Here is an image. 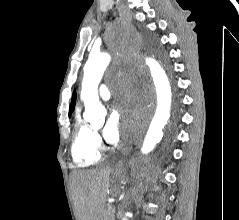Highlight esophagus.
Listing matches in <instances>:
<instances>
[{
  "mask_svg": "<svg viewBox=\"0 0 239 220\" xmlns=\"http://www.w3.org/2000/svg\"><path fill=\"white\" fill-rule=\"evenodd\" d=\"M124 167V160H119L115 166H114V170L115 171H120L121 169H123Z\"/></svg>",
  "mask_w": 239,
  "mask_h": 220,
  "instance_id": "esophagus-1",
  "label": "esophagus"
}]
</instances>
